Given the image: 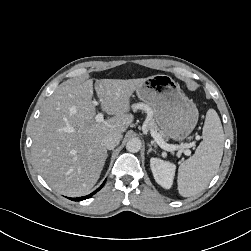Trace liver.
Returning <instances> with one entry per match:
<instances>
[{"label":"liver","mask_w":251,"mask_h":251,"mask_svg":"<svg viewBox=\"0 0 251 251\" xmlns=\"http://www.w3.org/2000/svg\"><path fill=\"white\" fill-rule=\"evenodd\" d=\"M146 78L100 79L94 89L101 109L113 117L96 122L93 81L62 83L42 106L32 131V156L39 173L56 192L88 194L104 167V138L122 137L133 121L130 97Z\"/></svg>","instance_id":"liver-1"}]
</instances>
